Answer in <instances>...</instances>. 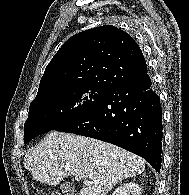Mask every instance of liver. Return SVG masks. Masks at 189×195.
Listing matches in <instances>:
<instances>
[{
	"mask_svg": "<svg viewBox=\"0 0 189 195\" xmlns=\"http://www.w3.org/2000/svg\"><path fill=\"white\" fill-rule=\"evenodd\" d=\"M24 167L41 183L57 185L80 175L85 184L79 195H106L125 178L145 170L141 157L94 138L52 131L24 157Z\"/></svg>",
	"mask_w": 189,
	"mask_h": 195,
	"instance_id": "6515ba94",
	"label": "liver"
}]
</instances>
